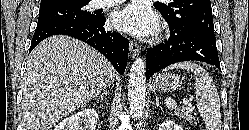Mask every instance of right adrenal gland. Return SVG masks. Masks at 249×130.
I'll use <instances>...</instances> for the list:
<instances>
[{"label":"right adrenal gland","mask_w":249,"mask_h":130,"mask_svg":"<svg viewBox=\"0 0 249 130\" xmlns=\"http://www.w3.org/2000/svg\"><path fill=\"white\" fill-rule=\"evenodd\" d=\"M109 94L107 90H105L100 96L99 99L101 100L102 103H104V98Z\"/></svg>","instance_id":"1"}]
</instances>
